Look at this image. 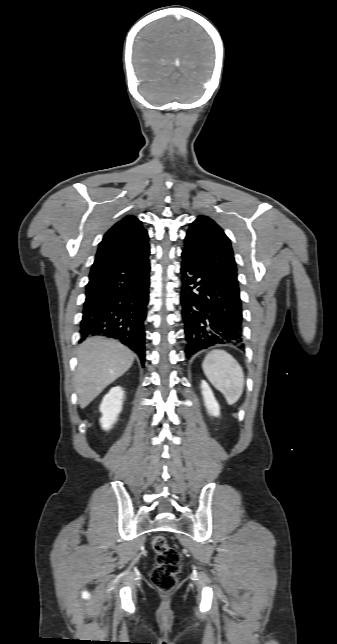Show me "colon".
<instances>
[{"label":"colon","mask_w":337,"mask_h":644,"mask_svg":"<svg viewBox=\"0 0 337 644\" xmlns=\"http://www.w3.org/2000/svg\"><path fill=\"white\" fill-rule=\"evenodd\" d=\"M152 547L156 555V566L152 571L151 580L160 591L170 592L177 584L181 563L180 554L161 535L153 538Z\"/></svg>","instance_id":"5ec220e1"}]
</instances>
